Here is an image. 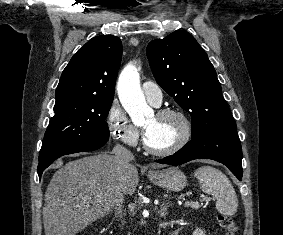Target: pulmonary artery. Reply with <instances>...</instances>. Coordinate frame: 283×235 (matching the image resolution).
I'll list each match as a JSON object with an SVG mask.
<instances>
[{"label":"pulmonary artery","mask_w":283,"mask_h":235,"mask_svg":"<svg viewBox=\"0 0 283 235\" xmlns=\"http://www.w3.org/2000/svg\"><path fill=\"white\" fill-rule=\"evenodd\" d=\"M142 91L149 103L154 106L160 105L163 95L161 88L157 84L145 81L142 83Z\"/></svg>","instance_id":"pulmonary-artery-1"}]
</instances>
